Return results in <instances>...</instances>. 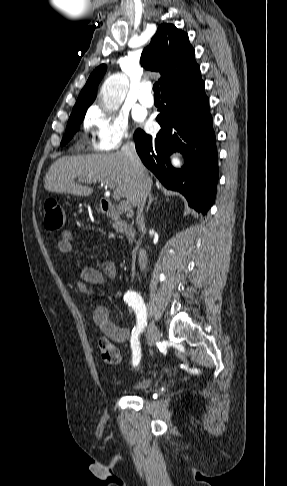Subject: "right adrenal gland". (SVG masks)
Here are the masks:
<instances>
[{
  "mask_svg": "<svg viewBox=\"0 0 287 486\" xmlns=\"http://www.w3.org/2000/svg\"><path fill=\"white\" fill-rule=\"evenodd\" d=\"M153 201H157V197H153L152 194L150 193L149 194V201H148V204H147V207H146V212H148L149 208H150V205Z\"/></svg>",
  "mask_w": 287,
  "mask_h": 486,
  "instance_id": "obj_1",
  "label": "right adrenal gland"
}]
</instances>
